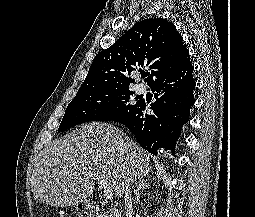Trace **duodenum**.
I'll return each mask as SVG.
<instances>
[{
  "label": "duodenum",
  "instance_id": "1",
  "mask_svg": "<svg viewBox=\"0 0 255 217\" xmlns=\"http://www.w3.org/2000/svg\"><path fill=\"white\" fill-rule=\"evenodd\" d=\"M79 210L86 215V217H102V213L98 208L92 204L83 203ZM106 217H122L120 210L112 209Z\"/></svg>",
  "mask_w": 255,
  "mask_h": 217
}]
</instances>
